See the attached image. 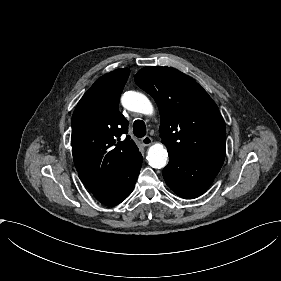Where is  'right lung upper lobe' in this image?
Segmentation results:
<instances>
[{"label":"right lung upper lobe","mask_w":281,"mask_h":281,"mask_svg":"<svg viewBox=\"0 0 281 281\" xmlns=\"http://www.w3.org/2000/svg\"><path fill=\"white\" fill-rule=\"evenodd\" d=\"M120 68L100 77L78 102L72 117L71 146L80 180L92 193L117 177L138 148L119 112V98L129 77Z\"/></svg>","instance_id":"cb5924a9"}]
</instances>
